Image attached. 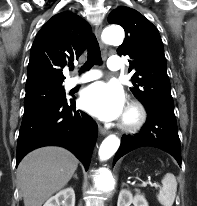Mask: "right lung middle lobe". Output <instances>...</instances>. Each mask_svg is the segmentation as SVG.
<instances>
[{"label": "right lung middle lobe", "mask_w": 197, "mask_h": 206, "mask_svg": "<svg viewBox=\"0 0 197 206\" xmlns=\"http://www.w3.org/2000/svg\"><path fill=\"white\" fill-rule=\"evenodd\" d=\"M65 100L66 94L62 86H42L26 89L24 114Z\"/></svg>", "instance_id": "dd1d6c3e"}]
</instances>
